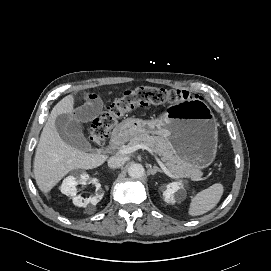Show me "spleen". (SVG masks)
<instances>
[{"label": "spleen", "mask_w": 271, "mask_h": 271, "mask_svg": "<svg viewBox=\"0 0 271 271\" xmlns=\"http://www.w3.org/2000/svg\"><path fill=\"white\" fill-rule=\"evenodd\" d=\"M223 185L221 183H215L197 193L192 197L188 214L190 216H199L212 210L220 201L223 195Z\"/></svg>", "instance_id": "spleen-1"}]
</instances>
